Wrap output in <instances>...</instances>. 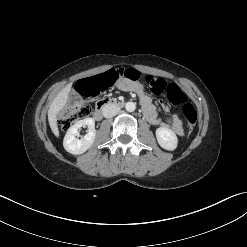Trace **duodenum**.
<instances>
[{"mask_svg": "<svg viewBox=\"0 0 247 247\" xmlns=\"http://www.w3.org/2000/svg\"><path fill=\"white\" fill-rule=\"evenodd\" d=\"M124 102L113 98H104L97 103L93 117L95 120H101L106 109L109 107H122Z\"/></svg>", "mask_w": 247, "mask_h": 247, "instance_id": "410a0bca", "label": "duodenum"}]
</instances>
